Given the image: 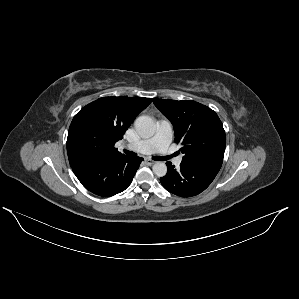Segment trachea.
<instances>
[{"instance_id":"1","label":"trachea","mask_w":299,"mask_h":299,"mask_svg":"<svg viewBox=\"0 0 299 299\" xmlns=\"http://www.w3.org/2000/svg\"><path fill=\"white\" fill-rule=\"evenodd\" d=\"M124 152L130 157H136L137 156V154L132 152V151L124 150ZM169 157H171V156H169ZM169 157L168 156H155L152 159L155 160V161H165V160L169 159Z\"/></svg>"}]
</instances>
